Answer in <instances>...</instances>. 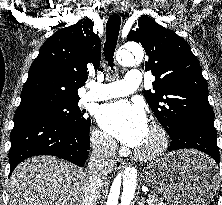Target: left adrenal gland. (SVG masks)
Returning a JSON list of instances; mask_svg holds the SVG:
<instances>
[{
    "mask_svg": "<svg viewBox=\"0 0 222 205\" xmlns=\"http://www.w3.org/2000/svg\"><path fill=\"white\" fill-rule=\"evenodd\" d=\"M139 205H145V198H142L139 202Z\"/></svg>",
    "mask_w": 222,
    "mask_h": 205,
    "instance_id": "left-adrenal-gland-1",
    "label": "left adrenal gland"
}]
</instances>
